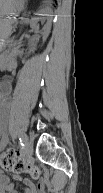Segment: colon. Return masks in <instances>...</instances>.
Wrapping results in <instances>:
<instances>
[{
  "mask_svg": "<svg viewBox=\"0 0 103 193\" xmlns=\"http://www.w3.org/2000/svg\"><path fill=\"white\" fill-rule=\"evenodd\" d=\"M0 165L3 170L13 174L29 173L33 178H38L42 174L38 166L25 162L13 150H9L1 155Z\"/></svg>",
  "mask_w": 103,
  "mask_h": 193,
  "instance_id": "1",
  "label": "colon"
}]
</instances>
